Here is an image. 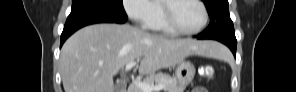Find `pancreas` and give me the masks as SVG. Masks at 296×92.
I'll list each match as a JSON object with an SVG mask.
<instances>
[{
  "instance_id": "obj_1",
  "label": "pancreas",
  "mask_w": 296,
  "mask_h": 92,
  "mask_svg": "<svg viewBox=\"0 0 296 92\" xmlns=\"http://www.w3.org/2000/svg\"><path fill=\"white\" fill-rule=\"evenodd\" d=\"M143 82L150 85L164 84V92H183L185 89L184 86L178 84L176 78L162 73L157 75H150L149 77H146ZM130 92H142V90L136 85H133L130 88Z\"/></svg>"
}]
</instances>
